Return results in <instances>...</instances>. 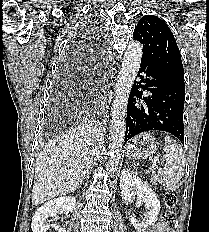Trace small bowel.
I'll use <instances>...</instances> for the list:
<instances>
[{
	"label": "small bowel",
	"instance_id": "small-bowel-1",
	"mask_svg": "<svg viewBox=\"0 0 209 232\" xmlns=\"http://www.w3.org/2000/svg\"><path fill=\"white\" fill-rule=\"evenodd\" d=\"M151 232H169L167 225L161 224L160 222L157 223Z\"/></svg>",
	"mask_w": 209,
	"mask_h": 232
}]
</instances>
